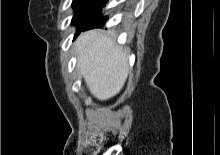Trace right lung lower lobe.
I'll list each match as a JSON object with an SVG mask.
<instances>
[{
	"label": "right lung lower lobe",
	"mask_w": 220,
	"mask_h": 155,
	"mask_svg": "<svg viewBox=\"0 0 220 155\" xmlns=\"http://www.w3.org/2000/svg\"><path fill=\"white\" fill-rule=\"evenodd\" d=\"M107 18H108L107 16H105V17H102V16L98 17L95 20H93L92 22H90L89 24L79 28L77 33H79L80 31L91 29V28L102 27Z\"/></svg>",
	"instance_id": "obj_1"
}]
</instances>
